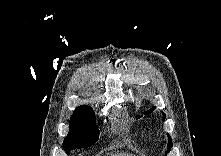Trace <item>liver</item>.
I'll return each instance as SVG.
<instances>
[{"label":"liver","mask_w":221,"mask_h":156,"mask_svg":"<svg viewBox=\"0 0 221 156\" xmlns=\"http://www.w3.org/2000/svg\"><path fill=\"white\" fill-rule=\"evenodd\" d=\"M113 156H134V155L128 154V153H119V154H116V155H113Z\"/></svg>","instance_id":"obj_1"}]
</instances>
